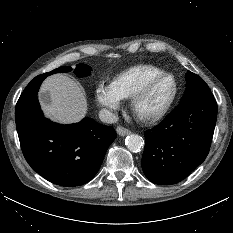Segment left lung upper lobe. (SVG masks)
Returning a JSON list of instances; mask_svg holds the SVG:
<instances>
[{
  "label": "left lung upper lobe",
  "instance_id": "left-lung-upper-lobe-1",
  "mask_svg": "<svg viewBox=\"0 0 233 233\" xmlns=\"http://www.w3.org/2000/svg\"><path fill=\"white\" fill-rule=\"evenodd\" d=\"M185 78L186 90L180 102L198 95L211 93L207 84L198 75L188 71Z\"/></svg>",
  "mask_w": 233,
  "mask_h": 233
}]
</instances>
